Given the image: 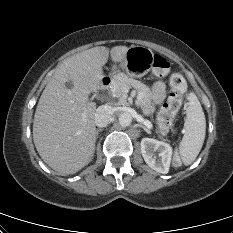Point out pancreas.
<instances>
[{"instance_id":"obj_1","label":"pancreas","mask_w":233,"mask_h":233,"mask_svg":"<svg viewBox=\"0 0 233 233\" xmlns=\"http://www.w3.org/2000/svg\"><path fill=\"white\" fill-rule=\"evenodd\" d=\"M130 87H133L137 90L140 99L139 103L143 105L144 103L150 100V89L148 86L143 84L142 82L135 80L133 78H129L125 74H118L115 77L114 85L112 88V95L118 98L119 105H127V94L126 90Z\"/></svg>"}]
</instances>
